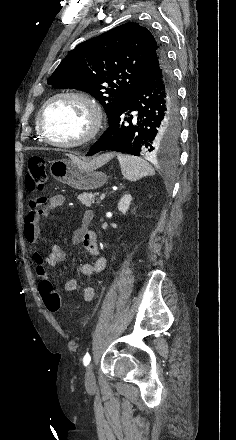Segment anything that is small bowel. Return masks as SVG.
Masks as SVG:
<instances>
[{"label": "small bowel", "mask_w": 236, "mask_h": 440, "mask_svg": "<svg viewBox=\"0 0 236 440\" xmlns=\"http://www.w3.org/2000/svg\"><path fill=\"white\" fill-rule=\"evenodd\" d=\"M64 202L65 197L63 195H55L49 198L39 197L31 201L25 217L23 230L24 237L28 243L33 245L38 244L41 232V220L47 215L50 209L62 206ZM92 217L91 211H84L81 215L80 224L73 235L74 244L82 245L89 254L96 257L94 263L82 265L81 274L85 277H91L95 273L101 272L106 265V260L100 253L96 235L89 229ZM65 258L66 254L64 250L58 245H53L47 254H42L40 251L35 250L33 252V261L36 273L40 277V283L47 281V267H54L62 263ZM77 288L78 282L76 279H69L64 284V290L67 292H73ZM94 296L95 292L92 287L87 286L83 288L82 297L84 301H92Z\"/></svg>", "instance_id": "c3829d8e"}]
</instances>
